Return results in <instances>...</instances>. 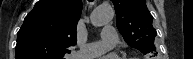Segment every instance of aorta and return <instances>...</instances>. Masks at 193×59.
Here are the masks:
<instances>
[{"instance_id":"aorta-1","label":"aorta","mask_w":193,"mask_h":59,"mask_svg":"<svg viewBox=\"0 0 193 59\" xmlns=\"http://www.w3.org/2000/svg\"><path fill=\"white\" fill-rule=\"evenodd\" d=\"M114 17V9L109 4L97 6L90 17L91 23L94 26H102L109 23Z\"/></svg>"}]
</instances>
